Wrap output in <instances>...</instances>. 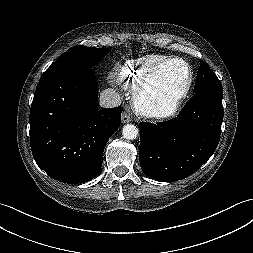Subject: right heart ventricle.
Wrapping results in <instances>:
<instances>
[{
	"label": "right heart ventricle",
	"instance_id": "right-heart-ventricle-1",
	"mask_svg": "<svg viewBox=\"0 0 253 253\" xmlns=\"http://www.w3.org/2000/svg\"><path fill=\"white\" fill-rule=\"evenodd\" d=\"M167 58L169 57L161 54H147L128 60L117 71L115 80L134 93L149 70Z\"/></svg>",
	"mask_w": 253,
	"mask_h": 253
}]
</instances>
